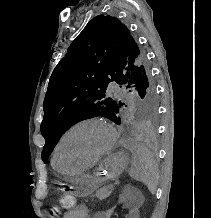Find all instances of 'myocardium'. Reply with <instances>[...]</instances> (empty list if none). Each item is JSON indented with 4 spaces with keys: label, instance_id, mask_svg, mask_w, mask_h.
Instances as JSON below:
<instances>
[{
    "label": "myocardium",
    "instance_id": "1",
    "mask_svg": "<svg viewBox=\"0 0 211 218\" xmlns=\"http://www.w3.org/2000/svg\"><path fill=\"white\" fill-rule=\"evenodd\" d=\"M88 124H98V125L104 127L107 130V132L109 133L110 140H109V143L107 144V146L93 160H91L88 163L78 165L77 168L78 169H85V168L91 167V166L95 165L103 157L108 155L113 150V148L115 147V144L117 142V132L114 129V127L109 122H107L104 118H101V117H88V118H84L82 120H79L78 122L73 124L61 136V138L59 139L58 143L56 144V147H55V150H54V158H55L56 161L59 162V151H60V148H61L62 143L64 142V140L72 132H74L75 130L79 129L80 127L88 125Z\"/></svg>",
    "mask_w": 211,
    "mask_h": 218
}]
</instances>
